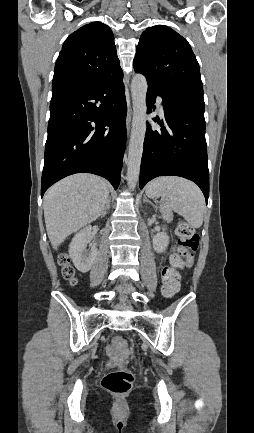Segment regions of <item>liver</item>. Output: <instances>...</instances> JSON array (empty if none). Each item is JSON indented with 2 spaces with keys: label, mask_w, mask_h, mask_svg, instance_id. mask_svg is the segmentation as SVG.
<instances>
[{
  "label": "liver",
  "mask_w": 254,
  "mask_h": 433,
  "mask_svg": "<svg viewBox=\"0 0 254 433\" xmlns=\"http://www.w3.org/2000/svg\"><path fill=\"white\" fill-rule=\"evenodd\" d=\"M109 196L107 182L96 175L75 174L54 184L44 196V218L54 249L72 233L96 220Z\"/></svg>",
  "instance_id": "obj_1"
}]
</instances>
